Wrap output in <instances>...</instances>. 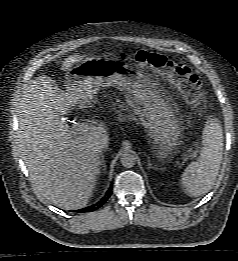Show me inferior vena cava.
<instances>
[{"instance_id": "1", "label": "inferior vena cava", "mask_w": 238, "mask_h": 261, "mask_svg": "<svg viewBox=\"0 0 238 261\" xmlns=\"http://www.w3.org/2000/svg\"><path fill=\"white\" fill-rule=\"evenodd\" d=\"M107 145H108V144H106V143H99V144L97 145V151H98L99 153H102L103 150L107 149Z\"/></svg>"}]
</instances>
